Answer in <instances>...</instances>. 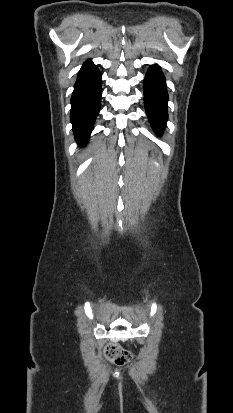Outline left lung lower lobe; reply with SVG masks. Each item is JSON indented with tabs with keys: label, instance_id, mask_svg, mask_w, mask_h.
Wrapping results in <instances>:
<instances>
[{
	"label": "left lung lower lobe",
	"instance_id": "left-lung-lower-lobe-1",
	"mask_svg": "<svg viewBox=\"0 0 233 413\" xmlns=\"http://www.w3.org/2000/svg\"><path fill=\"white\" fill-rule=\"evenodd\" d=\"M144 101L152 127L161 134L167 121L168 94L165 77L158 65H152L146 74Z\"/></svg>",
	"mask_w": 233,
	"mask_h": 413
}]
</instances>
